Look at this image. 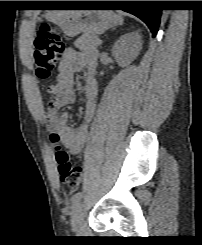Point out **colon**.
Here are the masks:
<instances>
[{"instance_id":"obj_1","label":"colon","mask_w":202,"mask_h":245,"mask_svg":"<svg viewBox=\"0 0 202 245\" xmlns=\"http://www.w3.org/2000/svg\"><path fill=\"white\" fill-rule=\"evenodd\" d=\"M63 49L60 37L50 25L42 24L34 39V62L36 75L41 80L49 79L58 63ZM52 141L57 142L59 135L56 132L50 134ZM56 161L61 181L71 188L76 189L80 185L82 168L71 161L70 154L61 149L56 150Z\"/></svg>"}]
</instances>
